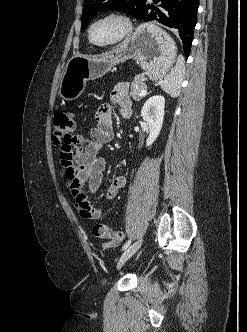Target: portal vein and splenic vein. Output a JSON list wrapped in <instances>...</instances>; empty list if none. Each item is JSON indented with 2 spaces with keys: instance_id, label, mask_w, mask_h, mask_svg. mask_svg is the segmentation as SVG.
I'll use <instances>...</instances> for the list:
<instances>
[{
  "instance_id": "portal-vein-and-splenic-vein-1",
  "label": "portal vein and splenic vein",
  "mask_w": 247,
  "mask_h": 332,
  "mask_svg": "<svg viewBox=\"0 0 247 332\" xmlns=\"http://www.w3.org/2000/svg\"><path fill=\"white\" fill-rule=\"evenodd\" d=\"M147 93L146 90H142L140 93H139V96L142 97V96H145Z\"/></svg>"
}]
</instances>
